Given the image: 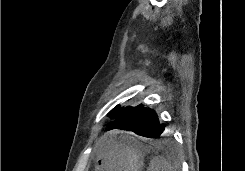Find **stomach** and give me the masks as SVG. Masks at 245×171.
<instances>
[{"mask_svg":"<svg viewBox=\"0 0 245 171\" xmlns=\"http://www.w3.org/2000/svg\"><path fill=\"white\" fill-rule=\"evenodd\" d=\"M146 150L131 134H112L100 145L95 171H142Z\"/></svg>","mask_w":245,"mask_h":171,"instance_id":"0dacf381","label":"stomach"}]
</instances>
